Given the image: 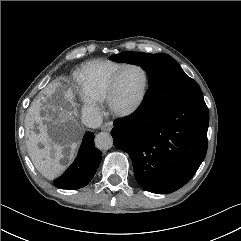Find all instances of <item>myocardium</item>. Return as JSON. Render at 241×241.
I'll list each match as a JSON object with an SVG mask.
<instances>
[{"mask_svg": "<svg viewBox=\"0 0 241 241\" xmlns=\"http://www.w3.org/2000/svg\"><path fill=\"white\" fill-rule=\"evenodd\" d=\"M131 67L139 68L144 73V77H145L144 86H143V89H142L140 95L138 96V98L131 105H129L125 108H119L114 104V95H115V91H116L117 81H118L121 73L125 69L131 68ZM149 85H150V75H149L148 70L143 65L138 64V63H125L113 75V77L109 83L108 90H107L106 97H105L108 109L110 110V112L112 114H114L117 117H129V116L133 115L143 105V103L147 97V94H148Z\"/></svg>", "mask_w": 241, "mask_h": 241, "instance_id": "f54148a6", "label": "myocardium"}]
</instances>
